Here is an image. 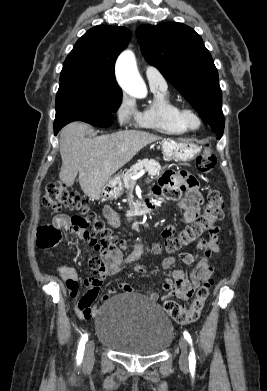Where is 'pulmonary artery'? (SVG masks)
Here are the masks:
<instances>
[{"mask_svg":"<svg viewBox=\"0 0 267 391\" xmlns=\"http://www.w3.org/2000/svg\"><path fill=\"white\" fill-rule=\"evenodd\" d=\"M145 75L150 87H167L164 77L156 68L147 66L145 69Z\"/></svg>","mask_w":267,"mask_h":391,"instance_id":"obj_1","label":"pulmonary artery"}]
</instances>
